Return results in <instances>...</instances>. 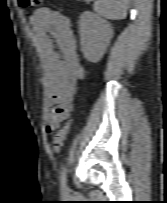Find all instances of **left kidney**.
<instances>
[{
  "instance_id": "1",
  "label": "left kidney",
  "mask_w": 167,
  "mask_h": 203,
  "mask_svg": "<svg viewBox=\"0 0 167 203\" xmlns=\"http://www.w3.org/2000/svg\"><path fill=\"white\" fill-rule=\"evenodd\" d=\"M81 50L87 61L97 63L106 52L113 35L112 26L100 16L85 12L79 23Z\"/></svg>"
}]
</instances>
